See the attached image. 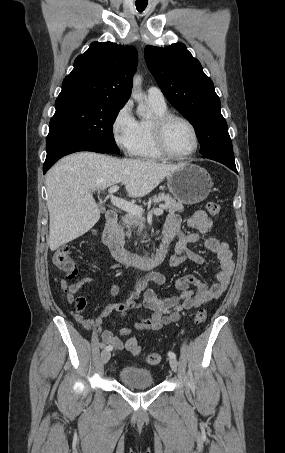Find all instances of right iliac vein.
<instances>
[{
  "label": "right iliac vein",
  "mask_w": 285,
  "mask_h": 453,
  "mask_svg": "<svg viewBox=\"0 0 285 453\" xmlns=\"http://www.w3.org/2000/svg\"><path fill=\"white\" fill-rule=\"evenodd\" d=\"M110 357H111L110 351H108V350L103 351L101 353V362H102V364H106L110 360Z\"/></svg>",
  "instance_id": "right-iliac-vein-1"
}]
</instances>
